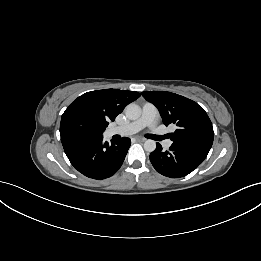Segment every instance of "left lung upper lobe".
<instances>
[{
	"label": "left lung upper lobe",
	"mask_w": 261,
	"mask_h": 261,
	"mask_svg": "<svg viewBox=\"0 0 261 261\" xmlns=\"http://www.w3.org/2000/svg\"><path fill=\"white\" fill-rule=\"evenodd\" d=\"M142 95L158 108L166 126H176V131L170 133L174 144L211 148L214 137L212 123L196 102L166 91H144Z\"/></svg>",
	"instance_id": "obj_1"
}]
</instances>
